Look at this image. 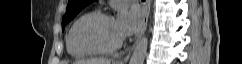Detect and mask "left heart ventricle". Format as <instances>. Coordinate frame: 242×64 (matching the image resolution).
<instances>
[{
    "instance_id": "left-heart-ventricle-1",
    "label": "left heart ventricle",
    "mask_w": 242,
    "mask_h": 64,
    "mask_svg": "<svg viewBox=\"0 0 242 64\" xmlns=\"http://www.w3.org/2000/svg\"><path fill=\"white\" fill-rule=\"evenodd\" d=\"M81 35L84 40L99 47H110L121 40L115 30L113 19L93 22L82 30Z\"/></svg>"
}]
</instances>
